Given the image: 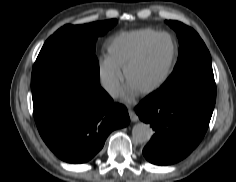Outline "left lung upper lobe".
<instances>
[{
  "instance_id": "obj_1",
  "label": "left lung upper lobe",
  "mask_w": 236,
  "mask_h": 182,
  "mask_svg": "<svg viewBox=\"0 0 236 182\" xmlns=\"http://www.w3.org/2000/svg\"><path fill=\"white\" fill-rule=\"evenodd\" d=\"M166 23L179 38V56L172 74L154 95L169 100L190 97L215 103L216 84L205 43L195 30L183 23L172 20Z\"/></svg>"
}]
</instances>
